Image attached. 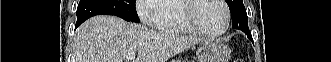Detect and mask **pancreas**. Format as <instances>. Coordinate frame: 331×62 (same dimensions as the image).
<instances>
[{
  "label": "pancreas",
  "instance_id": "obj_1",
  "mask_svg": "<svg viewBox=\"0 0 331 62\" xmlns=\"http://www.w3.org/2000/svg\"><path fill=\"white\" fill-rule=\"evenodd\" d=\"M177 61H180V60H177ZM172 62H176L175 60H173Z\"/></svg>",
  "mask_w": 331,
  "mask_h": 62
}]
</instances>
